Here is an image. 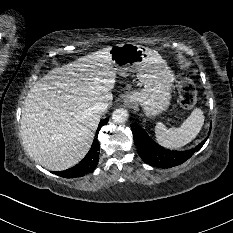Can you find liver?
<instances>
[{
  "mask_svg": "<svg viewBox=\"0 0 233 233\" xmlns=\"http://www.w3.org/2000/svg\"><path fill=\"white\" fill-rule=\"evenodd\" d=\"M110 48L49 71L30 89L21 116L24 149L43 167L61 171L89 151L100 120L93 106L111 104L117 71Z\"/></svg>",
  "mask_w": 233,
  "mask_h": 233,
  "instance_id": "1",
  "label": "liver"
}]
</instances>
